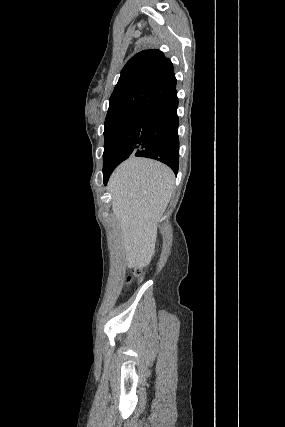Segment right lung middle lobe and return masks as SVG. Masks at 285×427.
I'll return each mask as SVG.
<instances>
[{"mask_svg":"<svg viewBox=\"0 0 285 427\" xmlns=\"http://www.w3.org/2000/svg\"><path fill=\"white\" fill-rule=\"evenodd\" d=\"M145 115L136 112L104 124L103 172L113 171L135 152Z\"/></svg>","mask_w":285,"mask_h":427,"instance_id":"right-lung-middle-lobe-1","label":"right lung middle lobe"}]
</instances>
